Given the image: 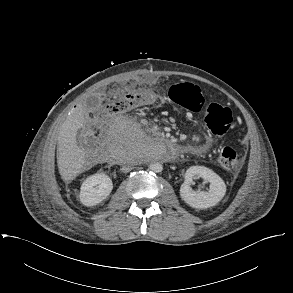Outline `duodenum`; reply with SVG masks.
Segmentation results:
<instances>
[{
	"label": "duodenum",
	"mask_w": 293,
	"mask_h": 293,
	"mask_svg": "<svg viewBox=\"0 0 293 293\" xmlns=\"http://www.w3.org/2000/svg\"><path fill=\"white\" fill-rule=\"evenodd\" d=\"M116 155H117V152H113L112 155L110 156V159L115 160V159H116ZM173 158H174V157H172L171 160H172Z\"/></svg>",
	"instance_id": "obj_1"
}]
</instances>
